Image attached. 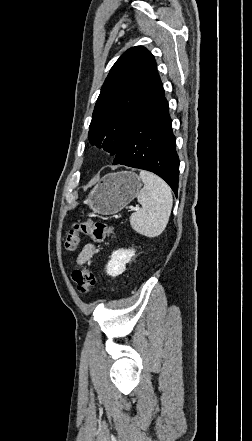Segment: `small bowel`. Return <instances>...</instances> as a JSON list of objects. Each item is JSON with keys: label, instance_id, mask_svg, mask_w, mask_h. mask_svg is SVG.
Returning a JSON list of instances; mask_svg holds the SVG:
<instances>
[{"label": "small bowel", "instance_id": "c3829d8e", "mask_svg": "<svg viewBox=\"0 0 252 441\" xmlns=\"http://www.w3.org/2000/svg\"><path fill=\"white\" fill-rule=\"evenodd\" d=\"M95 254V246L91 243L86 244L81 252L79 253V255L77 256V263L82 265L84 263H87L88 261H90L92 259V257Z\"/></svg>", "mask_w": 252, "mask_h": 441}]
</instances>
